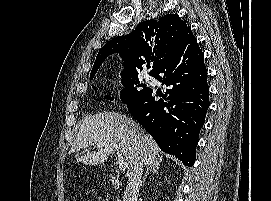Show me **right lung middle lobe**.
<instances>
[{"label":"right lung middle lobe","instance_id":"1","mask_svg":"<svg viewBox=\"0 0 271 201\" xmlns=\"http://www.w3.org/2000/svg\"><path fill=\"white\" fill-rule=\"evenodd\" d=\"M93 77L94 75H91L90 80H92ZM121 77H122L121 82L123 83L124 86V88L121 91V100L123 103L129 102L134 97L142 95L150 89L149 87H146L145 84H139L140 82L138 79V75L122 74ZM93 88L95 89L94 86ZM105 98L112 100V98L108 95H106Z\"/></svg>","mask_w":271,"mask_h":201}]
</instances>
